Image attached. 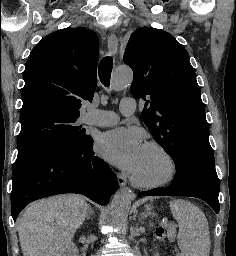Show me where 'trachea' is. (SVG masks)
<instances>
[{
	"label": "trachea",
	"instance_id": "obj_1",
	"mask_svg": "<svg viewBox=\"0 0 236 256\" xmlns=\"http://www.w3.org/2000/svg\"><path fill=\"white\" fill-rule=\"evenodd\" d=\"M113 67V60L111 57H104L98 67V74L100 81L105 87H109L111 71Z\"/></svg>",
	"mask_w": 236,
	"mask_h": 256
}]
</instances>
